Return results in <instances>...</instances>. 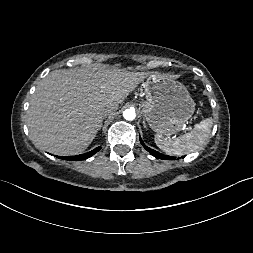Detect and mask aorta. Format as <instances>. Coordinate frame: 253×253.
I'll list each match as a JSON object with an SVG mask.
<instances>
[{
    "label": "aorta",
    "mask_w": 253,
    "mask_h": 253,
    "mask_svg": "<svg viewBox=\"0 0 253 253\" xmlns=\"http://www.w3.org/2000/svg\"><path fill=\"white\" fill-rule=\"evenodd\" d=\"M135 116H136V114H135V111L133 109H126L123 112V117L126 120H133L135 118Z\"/></svg>",
    "instance_id": "obj_1"
}]
</instances>
